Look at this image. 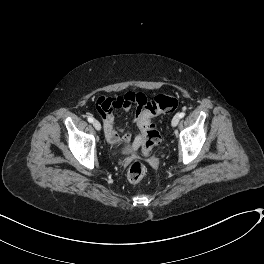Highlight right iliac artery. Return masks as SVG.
Returning <instances> with one entry per match:
<instances>
[{"label":"right iliac artery","instance_id":"right-iliac-artery-1","mask_svg":"<svg viewBox=\"0 0 264 264\" xmlns=\"http://www.w3.org/2000/svg\"><path fill=\"white\" fill-rule=\"evenodd\" d=\"M88 122L92 123L94 121V119L92 117H88L87 118Z\"/></svg>","mask_w":264,"mask_h":264}]
</instances>
